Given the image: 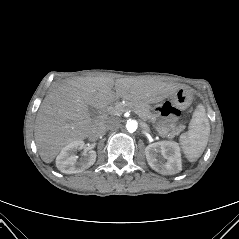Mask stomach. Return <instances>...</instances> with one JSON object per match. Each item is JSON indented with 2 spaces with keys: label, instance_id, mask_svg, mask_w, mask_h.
<instances>
[{
  "label": "stomach",
  "instance_id": "1",
  "mask_svg": "<svg viewBox=\"0 0 239 239\" xmlns=\"http://www.w3.org/2000/svg\"><path fill=\"white\" fill-rule=\"evenodd\" d=\"M191 96L185 87H179L172 95L159 104L160 116L169 123H178L185 116V107Z\"/></svg>",
  "mask_w": 239,
  "mask_h": 239
}]
</instances>
